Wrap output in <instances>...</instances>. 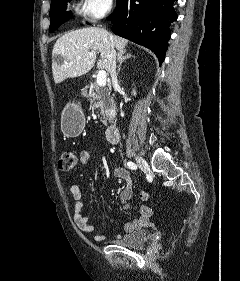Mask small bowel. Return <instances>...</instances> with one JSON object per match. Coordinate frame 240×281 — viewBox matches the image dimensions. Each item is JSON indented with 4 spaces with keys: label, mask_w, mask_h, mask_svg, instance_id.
Wrapping results in <instances>:
<instances>
[{
    "label": "small bowel",
    "mask_w": 240,
    "mask_h": 281,
    "mask_svg": "<svg viewBox=\"0 0 240 281\" xmlns=\"http://www.w3.org/2000/svg\"><path fill=\"white\" fill-rule=\"evenodd\" d=\"M91 159V151L83 150L79 155V160L82 165L89 163ZM112 173L115 177L125 181V187L120 192L119 198L125 209L130 208V200L133 194L132 179L129 172L123 168L116 166L113 168ZM70 193L74 199L73 207V219L77 227L87 235H92L95 232V226L89 222V218L83 214V202H82V192L78 185H72L70 187ZM141 197L146 199L148 194L146 192L141 193ZM139 217L131 222L124 225L123 233L118 236L121 237L123 234L132 233L139 230L148 224L149 218L152 215V210L147 205H140L137 207ZM95 240L102 241L105 239L104 235H95Z\"/></svg>",
    "instance_id": "obj_1"
}]
</instances>
